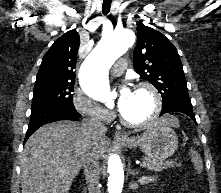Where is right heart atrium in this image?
<instances>
[{"label":"right heart atrium","instance_id":"obj_1","mask_svg":"<svg viewBox=\"0 0 221 193\" xmlns=\"http://www.w3.org/2000/svg\"><path fill=\"white\" fill-rule=\"evenodd\" d=\"M72 104L78 113L92 121L107 122L112 118L110 110L80 90L74 92Z\"/></svg>","mask_w":221,"mask_h":193}]
</instances>
